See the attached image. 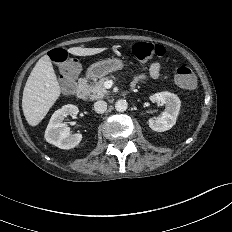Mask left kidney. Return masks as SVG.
I'll return each instance as SVG.
<instances>
[{
  "label": "left kidney",
  "mask_w": 232,
  "mask_h": 232,
  "mask_svg": "<svg viewBox=\"0 0 232 232\" xmlns=\"http://www.w3.org/2000/svg\"><path fill=\"white\" fill-rule=\"evenodd\" d=\"M150 100L155 103L165 105V110L160 117L149 120V127L156 132H164L172 128L180 110L181 101L174 93L164 91L150 96Z\"/></svg>",
  "instance_id": "left-kidney-1"
}]
</instances>
